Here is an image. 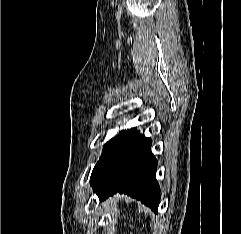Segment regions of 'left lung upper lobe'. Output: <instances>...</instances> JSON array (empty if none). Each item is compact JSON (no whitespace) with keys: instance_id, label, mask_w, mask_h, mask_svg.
<instances>
[{"instance_id":"obj_1","label":"left lung upper lobe","mask_w":241,"mask_h":234,"mask_svg":"<svg viewBox=\"0 0 241 234\" xmlns=\"http://www.w3.org/2000/svg\"><path fill=\"white\" fill-rule=\"evenodd\" d=\"M116 138V137H115ZM115 138L111 139L109 142H107L104 146V149H103V153H102V156L101 158L99 159V161L97 162L96 166L94 167L93 169V172H92V175H91V179H90V182L93 180V178L96 176L97 172L99 171L105 157H106V154L107 152L109 151L112 143L114 142Z\"/></svg>"}]
</instances>
